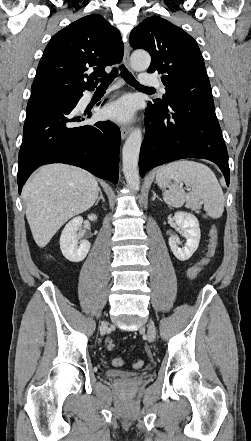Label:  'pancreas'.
Wrapping results in <instances>:
<instances>
[{"mask_svg":"<svg viewBox=\"0 0 251 441\" xmlns=\"http://www.w3.org/2000/svg\"><path fill=\"white\" fill-rule=\"evenodd\" d=\"M191 210L195 211L196 213H200L199 206H188Z\"/></svg>","mask_w":251,"mask_h":441,"instance_id":"1","label":"pancreas"}]
</instances>
